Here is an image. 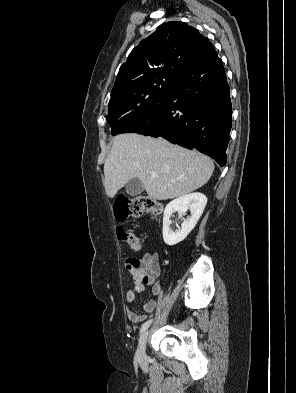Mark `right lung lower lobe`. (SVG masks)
<instances>
[{"label":"right lung lower lobe","instance_id":"obj_1","mask_svg":"<svg viewBox=\"0 0 296 393\" xmlns=\"http://www.w3.org/2000/svg\"><path fill=\"white\" fill-rule=\"evenodd\" d=\"M229 85L214 47L183 72L173 89L121 133L163 137L226 164L232 126Z\"/></svg>","mask_w":296,"mask_h":393}]
</instances>
